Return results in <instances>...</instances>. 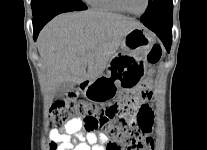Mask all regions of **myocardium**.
Segmentation results:
<instances>
[{
	"label": "myocardium",
	"mask_w": 207,
	"mask_h": 150,
	"mask_svg": "<svg viewBox=\"0 0 207 150\" xmlns=\"http://www.w3.org/2000/svg\"><path fill=\"white\" fill-rule=\"evenodd\" d=\"M118 2L120 3V5L122 6V8L127 12V13H130V14H132V15H135V16H141V15H143L146 11H147V9H148V7H149V2H150V0H146V4H145V7H144V9L141 11V12H133V11H131L130 9H129V7L127 6V3H126V0H118Z\"/></svg>",
	"instance_id": "obj_1"
}]
</instances>
